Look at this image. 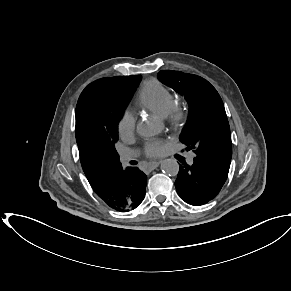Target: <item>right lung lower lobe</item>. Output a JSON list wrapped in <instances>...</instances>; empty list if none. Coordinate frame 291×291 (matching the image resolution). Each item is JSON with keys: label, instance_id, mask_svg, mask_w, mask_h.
<instances>
[{"label": "right lung lower lobe", "instance_id": "98d812e1", "mask_svg": "<svg viewBox=\"0 0 291 291\" xmlns=\"http://www.w3.org/2000/svg\"><path fill=\"white\" fill-rule=\"evenodd\" d=\"M115 186L105 203L112 209L126 212L135 209L145 197L147 176L137 167L122 169V165L112 173Z\"/></svg>", "mask_w": 291, "mask_h": 291}]
</instances>
